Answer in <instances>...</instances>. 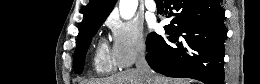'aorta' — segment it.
Masks as SVG:
<instances>
[{"label": "aorta", "mask_w": 260, "mask_h": 84, "mask_svg": "<svg viewBox=\"0 0 260 84\" xmlns=\"http://www.w3.org/2000/svg\"><path fill=\"white\" fill-rule=\"evenodd\" d=\"M138 6V0H120L119 11L123 19L129 20L133 17Z\"/></svg>", "instance_id": "aorta-1"}]
</instances>
